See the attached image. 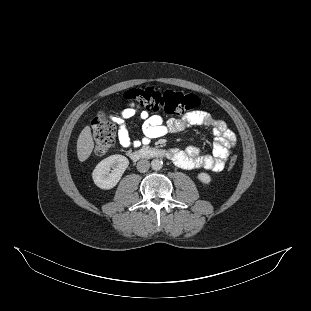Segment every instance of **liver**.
<instances>
[{
  "mask_svg": "<svg viewBox=\"0 0 311 311\" xmlns=\"http://www.w3.org/2000/svg\"><path fill=\"white\" fill-rule=\"evenodd\" d=\"M94 148L90 126L84 127L77 140V156L83 162L89 158Z\"/></svg>",
  "mask_w": 311,
  "mask_h": 311,
  "instance_id": "liver-1",
  "label": "liver"
}]
</instances>
